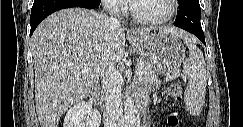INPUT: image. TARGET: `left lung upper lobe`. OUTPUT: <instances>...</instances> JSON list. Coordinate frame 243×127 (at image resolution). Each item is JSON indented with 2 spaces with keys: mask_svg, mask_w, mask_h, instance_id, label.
Instances as JSON below:
<instances>
[{
  "mask_svg": "<svg viewBox=\"0 0 243 127\" xmlns=\"http://www.w3.org/2000/svg\"><path fill=\"white\" fill-rule=\"evenodd\" d=\"M182 1H184V0H178V3H181Z\"/></svg>",
  "mask_w": 243,
  "mask_h": 127,
  "instance_id": "1",
  "label": "left lung upper lobe"
}]
</instances>
